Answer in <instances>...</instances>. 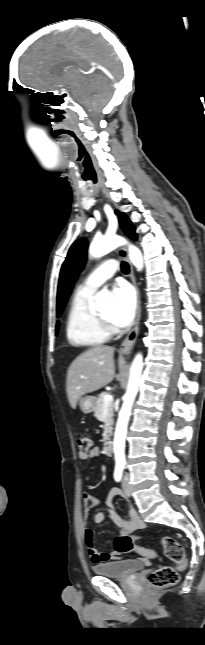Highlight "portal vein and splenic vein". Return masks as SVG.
Instances as JSON below:
<instances>
[{
  "label": "portal vein and splenic vein",
  "instance_id": "18ae733b",
  "mask_svg": "<svg viewBox=\"0 0 205 645\" xmlns=\"http://www.w3.org/2000/svg\"><path fill=\"white\" fill-rule=\"evenodd\" d=\"M112 402H113V396L112 395L107 394V395L104 396V403L105 404H109V403H112Z\"/></svg>",
  "mask_w": 205,
  "mask_h": 645
}]
</instances>
